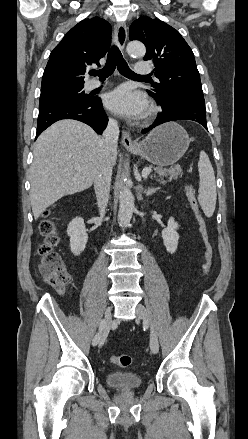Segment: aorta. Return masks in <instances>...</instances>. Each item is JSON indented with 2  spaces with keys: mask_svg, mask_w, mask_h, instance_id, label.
Segmentation results:
<instances>
[{
  "mask_svg": "<svg viewBox=\"0 0 248 439\" xmlns=\"http://www.w3.org/2000/svg\"><path fill=\"white\" fill-rule=\"evenodd\" d=\"M128 54L136 57H143L146 53V48L143 43L139 41H131L127 45ZM134 196L127 185L120 189L119 194V212L118 218L121 223L128 224L134 211Z\"/></svg>",
  "mask_w": 248,
  "mask_h": 439,
  "instance_id": "obj_1",
  "label": "aorta"
}]
</instances>
